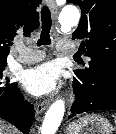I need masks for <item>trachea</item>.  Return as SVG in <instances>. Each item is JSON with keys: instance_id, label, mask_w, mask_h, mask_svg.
<instances>
[{"instance_id": "1", "label": "trachea", "mask_w": 116, "mask_h": 134, "mask_svg": "<svg viewBox=\"0 0 116 134\" xmlns=\"http://www.w3.org/2000/svg\"><path fill=\"white\" fill-rule=\"evenodd\" d=\"M42 30L40 39L37 42L38 46L51 44L50 30H51V13L48 7L44 6L41 11Z\"/></svg>"}]
</instances>
